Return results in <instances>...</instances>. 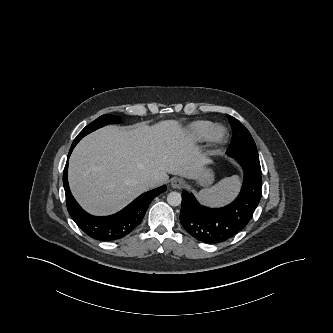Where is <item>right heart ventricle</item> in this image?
<instances>
[{"label":"right heart ventricle","mask_w":333,"mask_h":333,"mask_svg":"<svg viewBox=\"0 0 333 333\" xmlns=\"http://www.w3.org/2000/svg\"><path fill=\"white\" fill-rule=\"evenodd\" d=\"M212 122L205 120H197L188 126V134L195 141H203L210 136Z\"/></svg>","instance_id":"right-heart-ventricle-1"}]
</instances>
